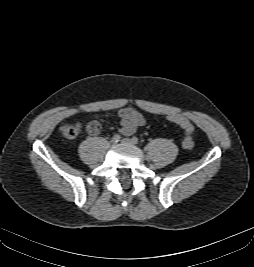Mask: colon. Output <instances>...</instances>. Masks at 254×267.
Instances as JSON below:
<instances>
[{"label":"colon","mask_w":254,"mask_h":267,"mask_svg":"<svg viewBox=\"0 0 254 267\" xmlns=\"http://www.w3.org/2000/svg\"><path fill=\"white\" fill-rule=\"evenodd\" d=\"M168 121L179 125L184 130V138L182 146L191 150L194 147V139L192 137L194 127L191 122L183 115L172 113L167 116ZM62 134L70 140L78 139L81 136V128L79 125L66 124L61 128Z\"/></svg>","instance_id":"5ec220e1"}]
</instances>
